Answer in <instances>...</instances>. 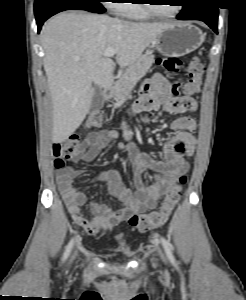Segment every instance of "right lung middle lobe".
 Listing matches in <instances>:
<instances>
[{
  "label": "right lung middle lobe",
  "mask_w": 246,
  "mask_h": 300,
  "mask_svg": "<svg viewBox=\"0 0 246 300\" xmlns=\"http://www.w3.org/2000/svg\"><path fill=\"white\" fill-rule=\"evenodd\" d=\"M48 1H50V0H35V8L42 6L43 4H45ZM83 1H85L91 7L100 10L101 12L105 11V8L101 4V0H83Z\"/></svg>",
  "instance_id": "obj_1"
}]
</instances>
